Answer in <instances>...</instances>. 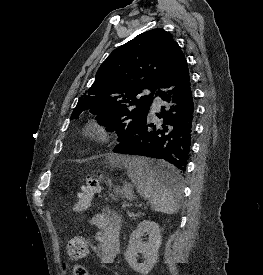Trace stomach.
<instances>
[{
  "label": "stomach",
  "instance_id": "obj_1",
  "mask_svg": "<svg viewBox=\"0 0 263 275\" xmlns=\"http://www.w3.org/2000/svg\"><path fill=\"white\" fill-rule=\"evenodd\" d=\"M126 158H121V161L122 160H125ZM120 161V162H121ZM119 162V163H120ZM159 163V162H158ZM164 164V163H163ZM123 194L125 197L129 198L131 196V190L130 189H123V190H116V194Z\"/></svg>",
  "mask_w": 263,
  "mask_h": 275
}]
</instances>
